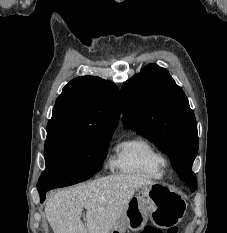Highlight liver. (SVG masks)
Instances as JSON below:
<instances>
[{
    "label": "liver",
    "instance_id": "obj_1",
    "mask_svg": "<svg viewBox=\"0 0 227 233\" xmlns=\"http://www.w3.org/2000/svg\"><path fill=\"white\" fill-rule=\"evenodd\" d=\"M155 182L135 174L111 175L51 196L45 214L54 233H109L134 193ZM86 211V224L81 220Z\"/></svg>",
    "mask_w": 227,
    "mask_h": 233
}]
</instances>
